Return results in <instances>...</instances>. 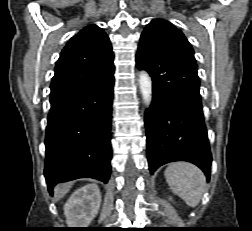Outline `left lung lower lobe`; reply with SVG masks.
Returning <instances> with one entry per match:
<instances>
[{"instance_id":"1","label":"left lung lower lobe","mask_w":252,"mask_h":231,"mask_svg":"<svg viewBox=\"0 0 252 231\" xmlns=\"http://www.w3.org/2000/svg\"><path fill=\"white\" fill-rule=\"evenodd\" d=\"M136 66L149 72L153 98L145 126L150 172L174 161L197 165L210 179L211 152L196 60L175 51L138 48Z\"/></svg>"}]
</instances>
